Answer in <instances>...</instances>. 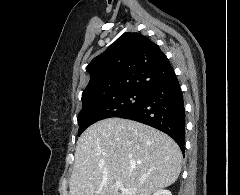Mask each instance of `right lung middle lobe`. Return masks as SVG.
<instances>
[{"mask_svg":"<svg viewBox=\"0 0 240 195\" xmlns=\"http://www.w3.org/2000/svg\"><path fill=\"white\" fill-rule=\"evenodd\" d=\"M146 93V91L125 89L98 98L83 99V107L78 115V136L99 120L118 117L137 107L145 99Z\"/></svg>","mask_w":240,"mask_h":195,"instance_id":"1","label":"right lung middle lobe"}]
</instances>
